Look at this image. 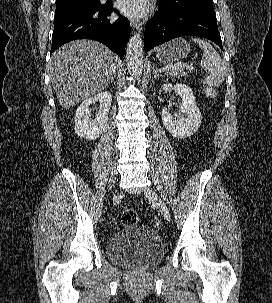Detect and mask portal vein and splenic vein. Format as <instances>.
Returning a JSON list of instances; mask_svg holds the SVG:
<instances>
[{"instance_id":"portal-vein-and-splenic-vein-1","label":"portal vein and splenic vein","mask_w":272,"mask_h":303,"mask_svg":"<svg viewBox=\"0 0 272 303\" xmlns=\"http://www.w3.org/2000/svg\"><path fill=\"white\" fill-rule=\"evenodd\" d=\"M170 69H186V70H193L194 68L191 65L187 64H174L166 68V70Z\"/></svg>"}]
</instances>
